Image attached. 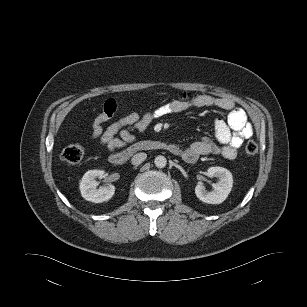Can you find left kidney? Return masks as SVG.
Listing matches in <instances>:
<instances>
[{"label": "left kidney", "mask_w": 307, "mask_h": 307, "mask_svg": "<svg viewBox=\"0 0 307 307\" xmlns=\"http://www.w3.org/2000/svg\"><path fill=\"white\" fill-rule=\"evenodd\" d=\"M206 175L208 177H216L217 182L213 183V189L211 191H207L204 185L200 182L195 187L196 196L204 203H222L228 197L233 186V178L231 172L223 167L216 166L209 167Z\"/></svg>", "instance_id": "obj_1"}]
</instances>
